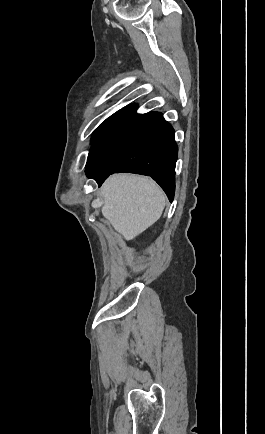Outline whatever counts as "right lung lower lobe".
<instances>
[{
    "label": "right lung lower lobe",
    "mask_w": 265,
    "mask_h": 434,
    "mask_svg": "<svg viewBox=\"0 0 265 434\" xmlns=\"http://www.w3.org/2000/svg\"><path fill=\"white\" fill-rule=\"evenodd\" d=\"M132 104L109 117L89 152L86 175L102 182L113 173L151 176L172 202L178 148L174 129L159 112L136 113Z\"/></svg>",
    "instance_id": "1"
}]
</instances>
